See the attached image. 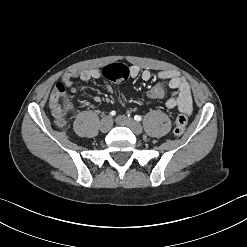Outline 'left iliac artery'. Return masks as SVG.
<instances>
[{
    "label": "left iliac artery",
    "mask_w": 247,
    "mask_h": 247,
    "mask_svg": "<svg viewBox=\"0 0 247 247\" xmlns=\"http://www.w3.org/2000/svg\"><path fill=\"white\" fill-rule=\"evenodd\" d=\"M134 119H135L136 121H141V120H142V117H141L140 115H135V116H134Z\"/></svg>",
    "instance_id": "1"
}]
</instances>
